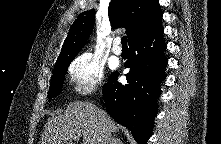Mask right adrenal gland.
Masks as SVG:
<instances>
[{"label":"right adrenal gland","instance_id":"1","mask_svg":"<svg viewBox=\"0 0 221 144\" xmlns=\"http://www.w3.org/2000/svg\"><path fill=\"white\" fill-rule=\"evenodd\" d=\"M111 144H123V143L120 141V139L114 137L111 139Z\"/></svg>","mask_w":221,"mask_h":144}]
</instances>
